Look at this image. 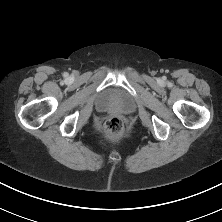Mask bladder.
<instances>
[{
	"label": "bladder",
	"mask_w": 222,
	"mask_h": 222,
	"mask_svg": "<svg viewBox=\"0 0 222 222\" xmlns=\"http://www.w3.org/2000/svg\"><path fill=\"white\" fill-rule=\"evenodd\" d=\"M96 108L102 112L128 114L134 111L136 104L133 97L121 90L108 89L100 93L95 100Z\"/></svg>",
	"instance_id": "1"
}]
</instances>
